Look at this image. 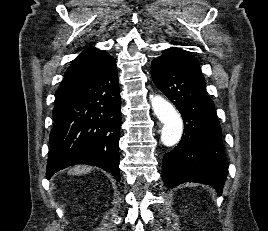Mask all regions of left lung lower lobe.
<instances>
[{"instance_id": "left-lung-lower-lobe-1", "label": "left lung lower lobe", "mask_w": 268, "mask_h": 231, "mask_svg": "<svg viewBox=\"0 0 268 231\" xmlns=\"http://www.w3.org/2000/svg\"><path fill=\"white\" fill-rule=\"evenodd\" d=\"M151 74L155 85L179 109L184 122L181 141L164 155L163 181L170 188L184 182L203 183L221 195L228 162L204 77L161 57L152 60Z\"/></svg>"}]
</instances>
